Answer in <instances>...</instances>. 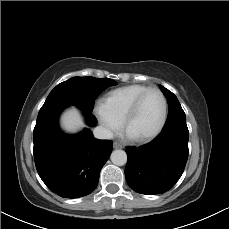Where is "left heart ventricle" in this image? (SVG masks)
Listing matches in <instances>:
<instances>
[{
	"instance_id": "left-heart-ventricle-1",
	"label": "left heart ventricle",
	"mask_w": 229,
	"mask_h": 229,
	"mask_svg": "<svg viewBox=\"0 0 229 229\" xmlns=\"http://www.w3.org/2000/svg\"><path fill=\"white\" fill-rule=\"evenodd\" d=\"M163 102L157 92L147 94L128 125L127 132L132 136H143L156 129L160 123Z\"/></svg>"
}]
</instances>
